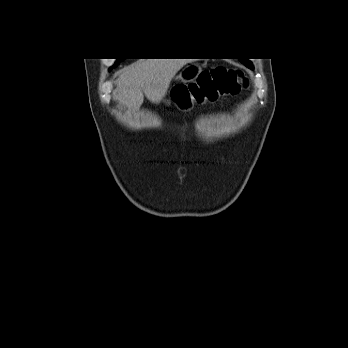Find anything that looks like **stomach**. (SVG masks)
<instances>
[{
	"mask_svg": "<svg viewBox=\"0 0 348 348\" xmlns=\"http://www.w3.org/2000/svg\"><path fill=\"white\" fill-rule=\"evenodd\" d=\"M199 72H200V68L197 67L196 65L185 67L178 76V79L181 80V82H183V84H180V85L187 86L186 83L194 81L197 75L199 74ZM206 101H207L206 97L194 98L192 95H190L189 97L187 96V99L185 100L182 107L184 109H191L194 106L195 102L204 103Z\"/></svg>",
	"mask_w": 348,
	"mask_h": 348,
	"instance_id": "stomach-1",
	"label": "stomach"
}]
</instances>
